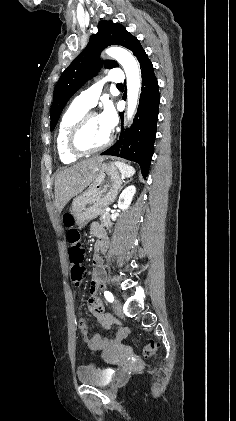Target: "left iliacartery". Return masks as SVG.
<instances>
[{"instance_id": "1", "label": "left iliac artery", "mask_w": 236, "mask_h": 421, "mask_svg": "<svg viewBox=\"0 0 236 421\" xmlns=\"http://www.w3.org/2000/svg\"><path fill=\"white\" fill-rule=\"evenodd\" d=\"M104 296L108 302L112 303L114 301V296L110 291H105Z\"/></svg>"}]
</instances>
